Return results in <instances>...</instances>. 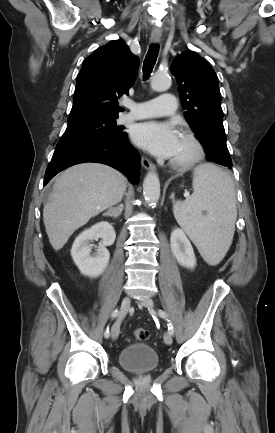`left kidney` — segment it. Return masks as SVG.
Wrapping results in <instances>:
<instances>
[{
  "instance_id": "obj_1",
  "label": "left kidney",
  "mask_w": 275,
  "mask_h": 433,
  "mask_svg": "<svg viewBox=\"0 0 275 433\" xmlns=\"http://www.w3.org/2000/svg\"><path fill=\"white\" fill-rule=\"evenodd\" d=\"M170 245L180 265L188 268L195 267L196 258L193 247L182 229L176 228L173 230L170 237Z\"/></svg>"
}]
</instances>
